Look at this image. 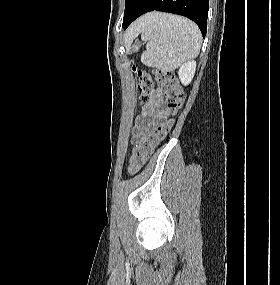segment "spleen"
Returning a JSON list of instances; mask_svg holds the SVG:
<instances>
[{"mask_svg":"<svg viewBox=\"0 0 280 285\" xmlns=\"http://www.w3.org/2000/svg\"><path fill=\"white\" fill-rule=\"evenodd\" d=\"M148 41L141 62L163 72L173 71L196 57L201 47V33L187 18L166 13H152L141 28Z\"/></svg>","mask_w":280,"mask_h":285,"instance_id":"obj_1","label":"spleen"}]
</instances>
